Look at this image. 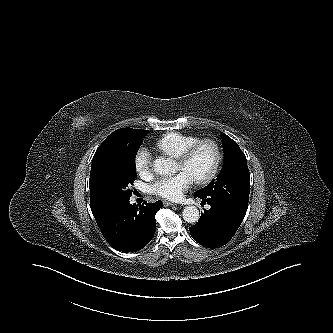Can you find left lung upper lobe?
I'll return each instance as SVG.
<instances>
[{
    "mask_svg": "<svg viewBox=\"0 0 333 333\" xmlns=\"http://www.w3.org/2000/svg\"><path fill=\"white\" fill-rule=\"evenodd\" d=\"M224 163L217 177L195 194L216 195L225 200L248 206L250 174L246 157L238 144L226 134H221Z\"/></svg>",
    "mask_w": 333,
    "mask_h": 333,
    "instance_id": "5c2ea615",
    "label": "left lung upper lobe"
}]
</instances>
